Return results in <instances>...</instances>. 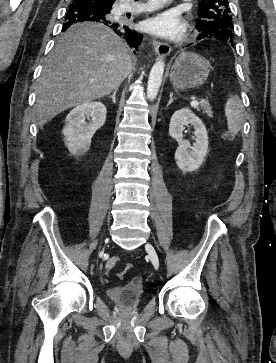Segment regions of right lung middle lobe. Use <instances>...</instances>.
Listing matches in <instances>:
<instances>
[{"label":"right lung middle lobe","mask_w":276,"mask_h":363,"mask_svg":"<svg viewBox=\"0 0 276 363\" xmlns=\"http://www.w3.org/2000/svg\"><path fill=\"white\" fill-rule=\"evenodd\" d=\"M77 4H94L95 7L100 9L104 15H107L110 13V10L112 7H106L100 4L92 3L91 1H84V0H73L70 6H77Z\"/></svg>","instance_id":"1"}]
</instances>
